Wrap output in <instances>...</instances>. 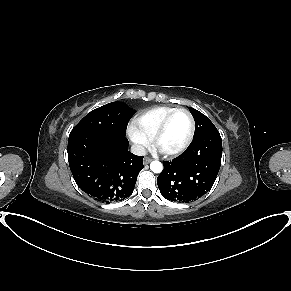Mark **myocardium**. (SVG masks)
Here are the masks:
<instances>
[{
    "label": "myocardium",
    "mask_w": 291,
    "mask_h": 291,
    "mask_svg": "<svg viewBox=\"0 0 291 291\" xmlns=\"http://www.w3.org/2000/svg\"><path fill=\"white\" fill-rule=\"evenodd\" d=\"M180 112L187 114L189 117V120H190V130H189L188 137H187L186 141L184 142V144L182 146H180L179 148H177L175 150H171V151L162 150L159 147L160 139L164 135L171 118L175 114L180 113ZM194 134H195V120H194V117L191 114V112L186 108H176L175 110L170 112L164 118V120L162 121V123L160 124V126L158 127L156 133L154 134V136L152 138V144L162 155H164L166 157H173V156H177V155L183 153L190 146V144L193 141Z\"/></svg>",
    "instance_id": "1"
}]
</instances>
